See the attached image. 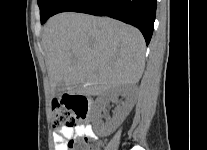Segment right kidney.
I'll return each mask as SVG.
<instances>
[{"label": "right kidney", "mask_w": 207, "mask_h": 150, "mask_svg": "<svg viewBox=\"0 0 207 150\" xmlns=\"http://www.w3.org/2000/svg\"><path fill=\"white\" fill-rule=\"evenodd\" d=\"M119 96L129 97L130 89L127 86H117L101 94L95 101V117L99 119L101 117L102 110L105 109L106 104L109 102H116ZM131 108L132 105L129 103V101H126L122 104V106H118L115 109L114 117L106 127L108 134L113 133L122 124L129 114Z\"/></svg>", "instance_id": "right-kidney-1"}]
</instances>
